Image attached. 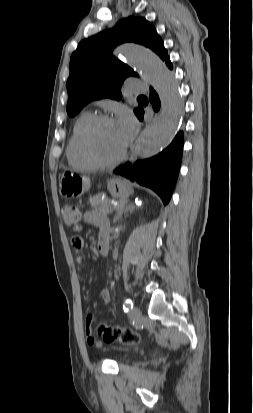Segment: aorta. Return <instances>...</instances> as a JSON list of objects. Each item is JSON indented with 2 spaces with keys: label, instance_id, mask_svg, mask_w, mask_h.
<instances>
[{
  "label": "aorta",
  "instance_id": "aorta-1",
  "mask_svg": "<svg viewBox=\"0 0 253 413\" xmlns=\"http://www.w3.org/2000/svg\"><path fill=\"white\" fill-rule=\"evenodd\" d=\"M118 53L152 84L161 100L160 115L138 141L139 158H150L173 140L184 114V101L173 75L155 53L134 43L123 44Z\"/></svg>",
  "mask_w": 253,
  "mask_h": 413
}]
</instances>
